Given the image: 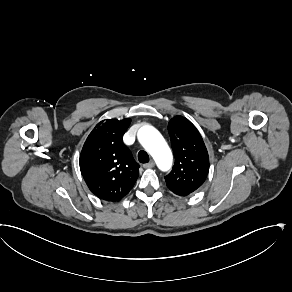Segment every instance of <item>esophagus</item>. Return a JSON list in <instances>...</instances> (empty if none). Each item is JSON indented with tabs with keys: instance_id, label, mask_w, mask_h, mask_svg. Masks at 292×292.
I'll use <instances>...</instances> for the list:
<instances>
[{
	"instance_id": "1",
	"label": "esophagus",
	"mask_w": 292,
	"mask_h": 292,
	"mask_svg": "<svg viewBox=\"0 0 292 292\" xmlns=\"http://www.w3.org/2000/svg\"><path fill=\"white\" fill-rule=\"evenodd\" d=\"M155 166V162L152 160L149 163H146L143 165L144 168L148 169V168H153Z\"/></svg>"
}]
</instances>
